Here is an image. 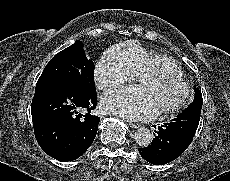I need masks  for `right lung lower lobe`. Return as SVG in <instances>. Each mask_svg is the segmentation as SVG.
Instances as JSON below:
<instances>
[{
	"instance_id": "98d812e1",
	"label": "right lung lower lobe",
	"mask_w": 230,
	"mask_h": 181,
	"mask_svg": "<svg viewBox=\"0 0 230 181\" xmlns=\"http://www.w3.org/2000/svg\"><path fill=\"white\" fill-rule=\"evenodd\" d=\"M96 104V93L89 94L72 87L35 90L31 114L40 147L59 161L80 157L97 134L100 119L90 114Z\"/></svg>"
}]
</instances>
